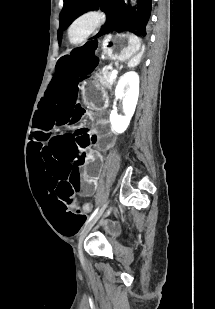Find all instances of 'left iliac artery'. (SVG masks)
Returning a JSON list of instances; mask_svg holds the SVG:
<instances>
[{"label": "left iliac artery", "instance_id": "left-iliac-artery-1", "mask_svg": "<svg viewBox=\"0 0 215 309\" xmlns=\"http://www.w3.org/2000/svg\"><path fill=\"white\" fill-rule=\"evenodd\" d=\"M106 208V204L99 206L95 209V211L93 212V214L91 215V217L86 221L85 225L91 221L93 219L94 216H96L97 214H101L102 211H104V209Z\"/></svg>", "mask_w": 215, "mask_h": 309}]
</instances>
